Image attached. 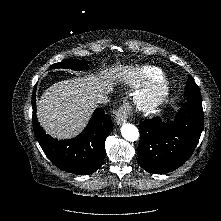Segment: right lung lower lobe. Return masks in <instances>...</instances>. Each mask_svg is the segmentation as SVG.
I'll return each instance as SVG.
<instances>
[{
	"instance_id": "1",
	"label": "right lung lower lobe",
	"mask_w": 221,
	"mask_h": 221,
	"mask_svg": "<svg viewBox=\"0 0 221 221\" xmlns=\"http://www.w3.org/2000/svg\"><path fill=\"white\" fill-rule=\"evenodd\" d=\"M32 108L35 136L53 164L78 175L94 173L101 167L105 157V140L113 128L104 110L96 109L85 130L77 137L57 140L47 135L37 121L35 91L32 95Z\"/></svg>"
}]
</instances>
